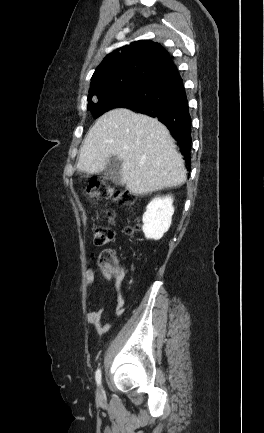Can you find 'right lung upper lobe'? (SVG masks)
I'll return each instance as SVG.
<instances>
[{"label": "right lung upper lobe", "mask_w": 264, "mask_h": 433, "mask_svg": "<svg viewBox=\"0 0 264 433\" xmlns=\"http://www.w3.org/2000/svg\"><path fill=\"white\" fill-rule=\"evenodd\" d=\"M169 58V53L160 44L149 40L135 41L118 48L96 68L88 99L143 84Z\"/></svg>", "instance_id": "1"}]
</instances>
